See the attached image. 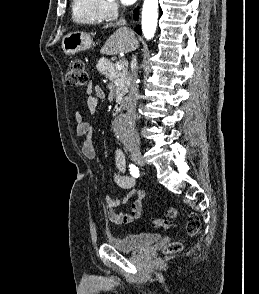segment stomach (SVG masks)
Listing matches in <instances>:
<instances>
[{
	"instance_id": "obj_1",
	"label": "stomach",
	"mask_w": 259,
	"mask_h": 294,
	"mask_svg": "<svg viewBox=\"0 0 259 294\" xmlns=\"http://www.w3.org/2000/svg\"><path fill=\"white\" fill-rule=\"evenodd\" d=\"M93 46L92 37L84 32H71L62 39V49L67 55H74Z\"/></svg>"
}]
</instances>
